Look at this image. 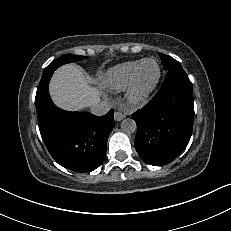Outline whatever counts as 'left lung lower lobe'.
I'll return each mask as SVG.
<instances>
[{
	"label": "left lung lower lobe",
	"mask_w": 231,
	"mask_h": 231,
	"mask_svg": "<svg viewBox=\"0 0 231 231\" xmlns=\"http://www.w3.org/2000/svg\"><path fill=\"white\" fill-rule=\"evenodd\" d=\"M137 124L135 149L150 165L172 162L185 149L192 134V84L182 66L168 70L160 91L133 113Z\"/></svg>",
	"instance_id": "obj_1"
}]
</instances>
